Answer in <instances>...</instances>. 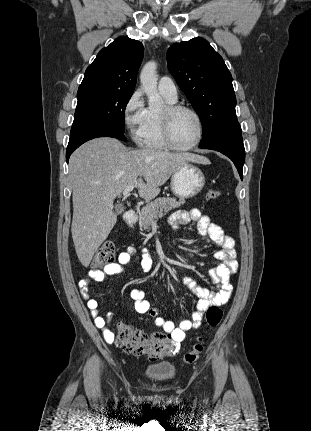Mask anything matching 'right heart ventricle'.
I'll list each match as a JSON object with an SVG mask.
<instances>
[{
	"label": "right heart ventricle",
	"mask_w": 311,
	"mask_h": 431,
	"mask_svg": "<svg viewBox=\"0 0 311 431\" xmlns=\"http://www.w3.org/2000/svg\"><path fill=\"white\" fill-rule=\"evenodd\" d=\"M163 97L168 105L177 103V97L171 98L166 95H163ZM161 113L162 111H158L154 109L147 110L146 119L140 132L141 142L146 148H149V149L168 148V145L162 138Z\"/></svg>",
	"instance_id": "obj_1"
}]
</instances>
